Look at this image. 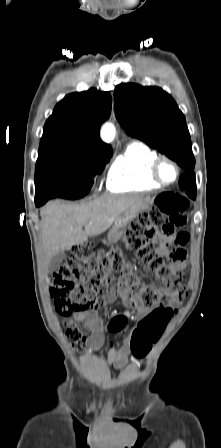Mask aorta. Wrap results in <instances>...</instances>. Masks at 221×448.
<instances>
[{"label":"aorta","mask_w":221,"mask_h":448,"mask_svg":"<svg viewBox=\"0 0 221 448\" xmlns=\"http://www.w3.org/2000/svg\"><path fill=\"white\" fill-rule=\"evenodd\" d=\"M116 130L112 123H105L101 129V138L105 142H110L114 139Z\"/></svg>","instance_id":"762f6f07"}]
</instances>
